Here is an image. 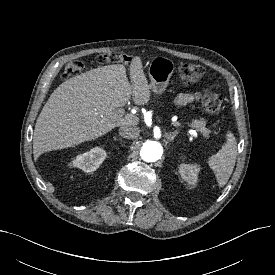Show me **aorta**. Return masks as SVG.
<instances>
[{
  "label": "aorta",
  "instance_id": "1",
  "mask_svg": "<svg viewBox=\"0 0 275 275\" xmlns=\"http://www.w3.org/2000/svg\"><path fill=\"white\" fill-rule=\"evenodd\" d=\"M163 155V147L157 141H146L140 150V156L145 162H155L161 159Z\"/></svg>",
  "mask_w": 275,
  "mask_h": 275
}]
</instances>
